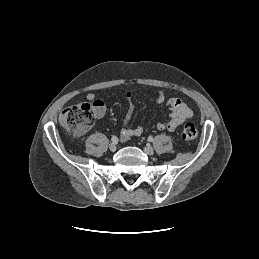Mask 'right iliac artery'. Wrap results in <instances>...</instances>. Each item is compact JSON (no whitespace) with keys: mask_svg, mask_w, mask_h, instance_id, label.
Masks as SVG:
<instances>
[{"mask_svg":"<svg viewBox=\"0 0 259 259\" xmlns=\"http://www.w3.org/2000/svg\"><path fill=\"white\" fill-rule=\"evenodd\" d=\"M111 141H112L113 143H117V142H118V138H117L116 136H113V137L111 138Z\"/></svg>","mask_w":259,"mask_h":259,"instance_id":"obj_1","label":"right iliac artery"}]
</instances>
